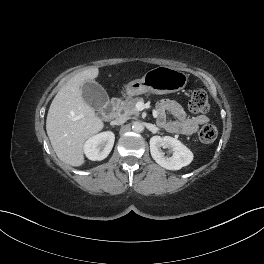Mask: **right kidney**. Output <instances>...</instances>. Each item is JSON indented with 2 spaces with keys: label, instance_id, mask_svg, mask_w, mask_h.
<instances>
[{
  "label": "right kidney",
  "instance_id": "obj_1",
  "mask_svg": "<svg viewBox=\"0 0 264 264\" xmlns=\"http://www.w3.org/2000/svg\"><path fill=\"white\" fill-rule=\"evenodd\" d=\"M115 135L111 131L102 132L90 137L84 144V153L92 161H101L111 152Z\"/></svg>",
  "mask_w": 264,
  "mask_h": 264
}]
</instances>
